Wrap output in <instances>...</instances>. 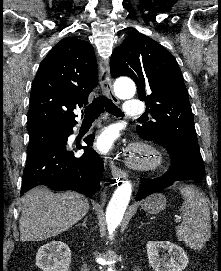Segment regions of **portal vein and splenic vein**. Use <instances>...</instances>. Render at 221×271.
Listing matches in <instances>:
<instances>
[{"label":"portal vein and splenic vein","instance_id":"portal-vein-and-splenic-vein-1","mask_svg":"<svg viewBox=\"0 0 221 271\" xmlns=\"http://www.w3.org/2000/svg\"><path fill=\"white\" fill-rule=\"evenodd\" d=\"M172 218H176L175 221H179V213H172Z\"/></svg>","mask_w":221,"mask_h":271}]
</instances>
